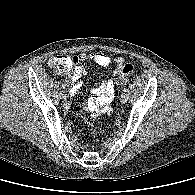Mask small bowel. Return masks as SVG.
Wrapping results in <instances>:
<instances>
[{"mask_svg":"<svg viewBox=\"0 0 195 195\" xmlns=\"http://www.w3.org/2000/svg\"><path fill=\"white\" fill-rule=\"evenodd\" d=\"M85 60H92L95 64L104 68L110 67L111 64L115 62L118 68L113 70V72L98 87L92 89V96L87 104H77L72 111L74 114L89 111L94 118L107 115L111 111L110 105L115 95V77L120 74V69L124 64V59L120 56L112 58L101 52L81 53L74 56L72 58L74 70L68 80L72 95H74L80 88V77L90 71V69L86 68L83 64Z\"/></svg>","mask_w":195,"mask_h":195,"instance_id":"c3829d8e","label":"small bowel"}]
</instances>
